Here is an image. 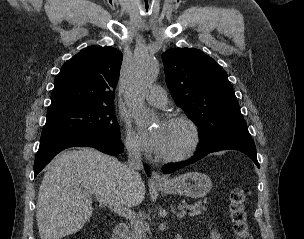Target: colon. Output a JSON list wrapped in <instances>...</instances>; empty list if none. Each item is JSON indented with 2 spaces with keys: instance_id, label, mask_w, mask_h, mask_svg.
Returning a JSON list of instances; mask_svg holds the SVG:
<instances>
[{
  "instance_id": "1",
  "label": "colon",
  "mask_w": 304,
  "mask_h": 239,
  "mask_svg": "<svg viewBox=\"0 0 304 239\" xmlns=\"http://www.w3.org/2000/svg\"><path fill=\"white\" fill-rule=\"evenodd\" d=\"M246 199V192L240 186L234 187L228 197V210L235 239H253L248 224Z\"/></svg>"
}]
</instances>
